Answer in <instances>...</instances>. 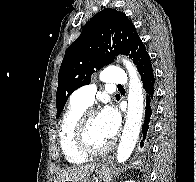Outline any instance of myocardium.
<instances>
[{"label": "myocardium", "instance_id": "obj_1", "mask_svg": "<svg viewBox=\"0 0 196 182\" xmlns=\"http://www.w3.org/2000/svg\"><path fill=\"white\" fill-rule=\"evenodd\" d=\"M93 115H97V111L94 109H86L77 119L73 130V144L75 149L86 157H96L108 153L113 144L109 142L106 146L100 149L90 148L85 140V130L89 118Z\"/></svg>", "mask_w": 196, "mask_h": 182}]
</instances>
